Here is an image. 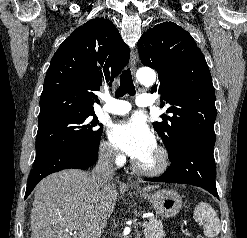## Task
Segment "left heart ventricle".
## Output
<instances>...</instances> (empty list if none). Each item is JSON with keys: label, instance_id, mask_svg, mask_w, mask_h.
Returning a JSON list of instances; mask_svg holds the SVG:
<instances>
[{"label": "left heart ventricle", "instance_id": "b2bd125f", "mask_svg": "<svg viewBox=\"0 0 247 238\" xmlns=\"http://www.w3.org/2000/svg\"><path fill=\"white\" fill-rule=\"evenodd\" d=\"M138 162L144 166H153L156 162L154 150L145 155L143 158L139 159Z\"/></svg>", "mask_w": 247, "mask_h": 238}]
</instances>
